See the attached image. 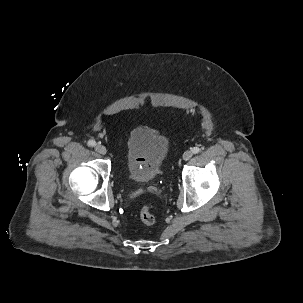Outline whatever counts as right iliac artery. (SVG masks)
<instances>
[{"label":"right iliac artery","mask_w":303,"mask_h":303,"mask_svg":"<svg viewBox=\"0 0 303 303\" xmlns=\"http://www.w3.org/2000/svg\"><path fill=\"white\" fill-rule=\"evenodd\" d=\"M87 144H88V146L93 147L96 145V142L94 140H90V141H88Z\"/></svg>","instance_id":"82829eb1"}]
</instances>
